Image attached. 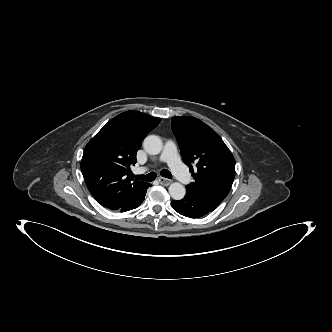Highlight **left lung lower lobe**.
<instances>
[{"label": "left lung lower lobe", "instance_id": "obj_1", "mask_svg": "<svg viewBox=\"0 0 332 332\" xmlns=\"http://www.w3.org/2000/svg\"><path fill=\"white\" fill-rule=\"evenodd\" d=\"M171 205L176 212L189 218H200L216 208L188 192L182 200H173Z\"/></svg>", "mask_w": 332, "mask_h": 332}]
</instances>
